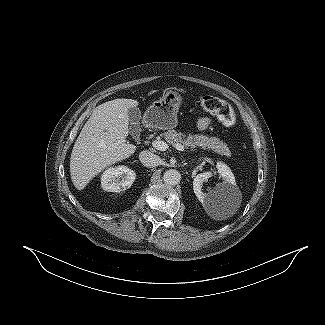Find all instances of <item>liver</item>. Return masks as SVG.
Returning a JSON list of instances; mask_svg holds the SVG:
<instances>
[{
  "mask_svg": "<svg viewBox=\"0 0 325 325\" xmlns=\"http://www.w3.org/2000/svg\"><path fill=\"white\" fill-rule=\"evenodd\" d=\"M137 105L136 100L121 98L105 102L93 110L71 153L70 174L76 189L83 190L95 175L136 151V146L126 142V137L129 133L128 110Z\"/></svg>",
  "mask_w": 325,
  "mask_h": 325,
  "instance_id": "liver-1",
  "label": "liver"
}]
</instances>
